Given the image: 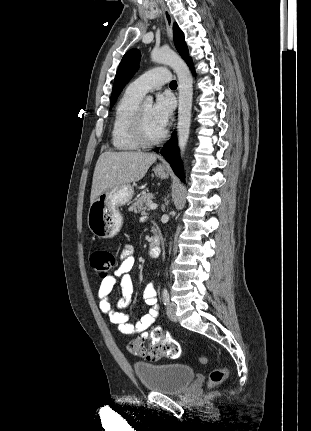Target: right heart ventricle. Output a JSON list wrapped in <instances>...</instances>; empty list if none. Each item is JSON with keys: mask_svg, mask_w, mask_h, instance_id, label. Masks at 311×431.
Returning <instances> with one entry per match:
<instances>
[{"mask_svg": "<svg viewBox=\"0 0 311 431\" xmlns=\"http://www.w3.org/2000/svg\"><path fill=\"white\" fill-rule=\"evenodd\" d=\"M142 97L126 89L117 101L113 112L111 142L118 151L129 152L140 148L132 136V119Z\"/></svg>", "mask_w": 311, "mask_h": 431, "instance_id": "e07e8e85", "label": "right heart ventricle"}]
</instances>
